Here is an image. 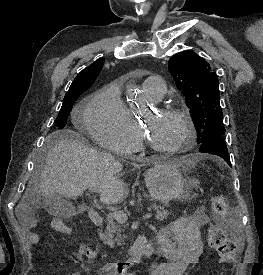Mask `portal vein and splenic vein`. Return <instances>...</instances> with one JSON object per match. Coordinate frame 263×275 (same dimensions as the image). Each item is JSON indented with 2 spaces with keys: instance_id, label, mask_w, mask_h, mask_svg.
<instances>
[{
  "instance_id": "portal-vein-and-splenic-vein-1",
  "label": "portal vein and splenic vein",
  "mask_w": 263,
  "mask_h": 275,
  "mask_svg": "<svg viewBox=\"0 0 263 275\" xmlns=\"http://www.w3.org/2000/svg\"><path fill=\"white\" fill-rule=\"evenodd\" d=\"M90 191L92 193L96 192L95 188L91 187ZM113 216L115 218V220L119 223H125L128 220V216L126 213H124L123 211H115L113 213ZM152 214L151 213H147L143 216V219H149L151 218Z\"/></svg>"
}]
</instances>
